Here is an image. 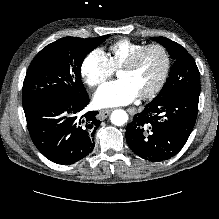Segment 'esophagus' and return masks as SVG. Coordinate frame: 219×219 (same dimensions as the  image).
<instances>
[{
	"label": "esophagus",
	"instance_id": "34e87169",
	"mask_svg": "<svg viewBox=\"0 0 219 219\" xmlns=\"http://www.w3.org/2000/svg\"><path fill=\"white\" fill-rule=\"evenodd\" d=\"M111 111H112L111 109H102V110H100L98 118L100 120H105L109 116Z\"/></svg>",
	"mask_w": 219,
	"mask_h": 219
}]
</instances>
